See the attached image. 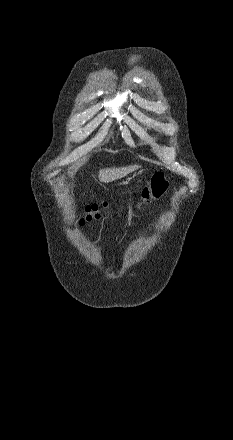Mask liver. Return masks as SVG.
<instances>
[{
  "instance_id": "1",
  "label": "liver",
  "mask_w": 233,
  "mask_h": 440,
  "mask_svg": "<svg viewBox=\"0 0 233 440\" xmlns=\"http://www.w3.org/2000/svg\"><path fill=\"white\" fill-rule=\"evenodd\" d=\"M140 168L138 165L121 167V168H113V169H101L99 171L98 178L101 182L109 183L115 181L117 179H121L128 175L129 173Z\"/></svg>"
}]
</instances>
